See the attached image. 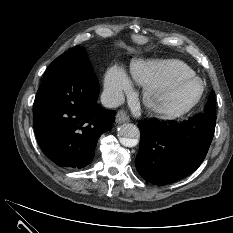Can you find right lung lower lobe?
Masks as SVG:
<instances>
[{"instance_id": "right-lung-lower-lobe-1", "label": "right lung lower lobe", "mask_w": 233, "mask_h": 233, "mask_svg": "<svg viewBox=\"0 0 233 233\" xmlns=\"http://www.w3.org/2000/svg\"><path fill=\"white\" fill-rule=\"evenodd\" d=\"M98 94L91 66L46 70L33 104V125L41 149L57 165H88L98 138L112 128L116 113L97 104Z\"/></svg>"}]
</instances>
